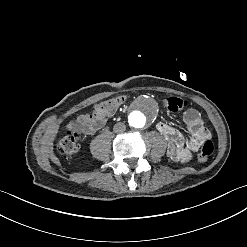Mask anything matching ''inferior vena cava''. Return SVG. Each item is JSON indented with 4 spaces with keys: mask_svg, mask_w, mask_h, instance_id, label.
<instances>
[{
    "mask_svg": "<svg viewBox=\"0 0 247 247\" xmlns=\"http://www.w3.org/2000/svg\"><path fill=\"white\" fill-rule=\"evenodd\" d=\"M125 129H126L125 124H124V123H121V122L116 123V124L114 125V127H113V131H114L115 133H122V132L125 131Z\"/></svg>",
    "mask_w": 247,
    "mask_h": 247,
    "instance_id": "1",
    "label": "inferior vena cava"
}]
</instances>
